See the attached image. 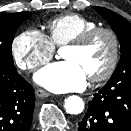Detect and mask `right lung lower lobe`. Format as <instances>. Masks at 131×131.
I'll return each instance as SVG.
<instances>
[{
    "instance_id": "1",
    "label": "right lung lower lobe",
    "mask_w": 131,
    "mask_h": 131,
    "mask_svg": "<svg viewBox=\"0 0 131 131\" xmlns=\"http://www.w3.org/2000/svg\"><path fill=\"white\" fill-rule=\"evenodd\" d=\"M34 107L32 85L15 66L0 64V131H29Z\"/></svg>"
}]
</instances>
